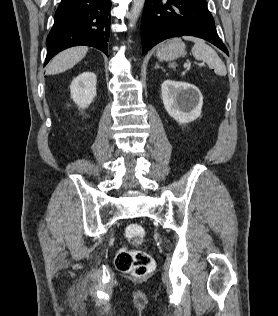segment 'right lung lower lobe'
Listing matches in <instances>:
<instances>
[{
  "label": "right lung lower lobe",
  "instance_id": "1",
  "mask_svg": "<svg viewBox=\"0 0 278 316\" xmlns=\"http://www.w3.org/2000/svg\"><path fill=\"white\" fill-rule=\"evenodd\" d=\"M110 8V0H62L46 40L44 66L58 52L77 45L93 46L108 54Z\"/></svg>",
  "mask_w": 278,
  "mask_h": 316
}]
</instances>
